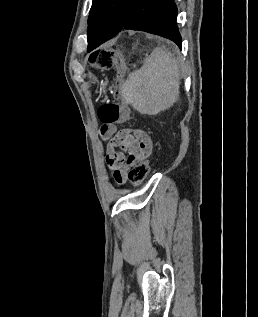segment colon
I'll return each mask as SVG.
<instances>
[{
    "mask_svg": "<svg viewBox=\"0 0 258 317\" xmlns=\"http://www.w3.org/2000/svg\"><path fill=\"white\" fill-rule=\"evenodd\" d=\"M90 64L98 69L111 68L114 63V57L111 51L99 49L89 55ZM124 76L122 72L117 75L115 86L113 89L114 97L121 98V91ZM98 116L103 124H113L119 121L127 122L131 118V112L124 109L117 102L103 104L98 110ZM150 170V159L139 162L134 165L128 172L127 176L130 182L135 185H141L147 178Z\"/></svg>",
    "mask_w": 258,
    "mask_h": 317,
    "instance_id": "obj_1",
    "label": "colon"
}]
</instances>
